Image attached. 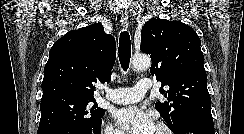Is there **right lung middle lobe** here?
I'll use <instances>...</instances> for the list:
<instances>
[{
  "instance_id": "dd1d6c3e",
  "label": "right lung middle lobe",
  "mask_w": 244,
  "mask_h": 134,
  "mask_svg": "<svg viewBox=\"0 0 244 134\" xmlns=\"http://www.w3.org/2000/svg\"><path fill=\"white\" fill-rule=\"evenodd\" d=\"M92 102L72 97H54L41 101V120L37 134H44L58 126L92 128L100 125L105 110L97 104L92 105Z\"/></svg>"
}]
</instances>
